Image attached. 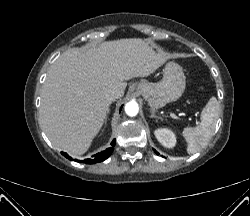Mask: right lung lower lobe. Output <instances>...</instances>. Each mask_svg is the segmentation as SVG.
<instances>
[{
  "mask_svg": "<svg viewBox=\"0 0 250 216\" xmlns=\"http://www.w3.org/2000/svg\"><path fill=\"white\" fill-rule=\"evenodd\" d=\"M111 144L115 145V140H113ZM113 150H114V148L110 147V148L106 149L105 151H102L101 153H97L94 156V159H85L83 161H80V160H76V161L83 162V163H88V164L102 162V161H104L105 159H107L111 155V153L113 152ZM62 154L65 157H67L69 159H72L66 153L62 152Z\"/></svg>",
  "mask_w": 250,
  "mask_h": 216,
  "instance_id": "1",
  "label": "right lung lower lobe"
}]
</instances>
